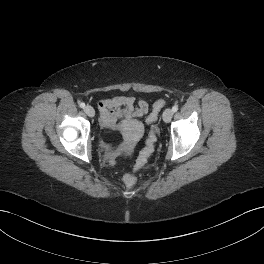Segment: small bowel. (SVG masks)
<instances>
[{"instance_id": "c3829d8e", "label": "small bowel", "mask_w": 264, "mask_h": 264, "mask_svg": "<svg viewBox=\"0 0 264 264\" xmlns=\"http://www.w3.org/2000/svg\"><path fill=\"white\" fill-rule=\"evenodd\" d=\"M97 108L101 125L113 131H120L125 128L129 122L144 118L149 111V104L145 100H136L132 96H115L99 100ZM122 118L124 122L119 124L118 121ZM123 149L124 145L122 144L113 153V161Z\"/></svg>"}]
</instances>
